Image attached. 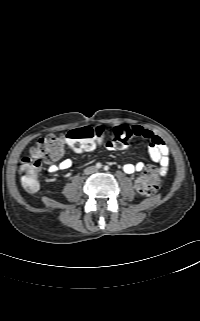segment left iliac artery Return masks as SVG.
Here are the masks:
<instances>
[{"mask_svg": "<svg viewBox=\"0 0 200 321\" xmlns=\"http://www.w3.org/2000/svg\"><path fill=\"white\" fill-rule=\"evenodd\" d=\"M104 170L105 171L109 170V166H104Z\"/></svg>", "mask_w": 200, "mask_h": 321, "instance_id": "44dca946", "label": "left iliac artery"}]
</instances>
